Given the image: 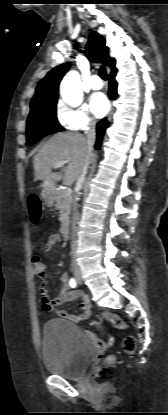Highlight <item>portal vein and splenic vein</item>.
Returning <instances> with one entry per match:
<instances>
[{"mask_svg": "<svg viewBox=\"0 0 168 415\" xmlns=\"http://www.w3.org/2000/svg\"><path fill=\"white\" fill-rule=\"evenodd\" d=\"M67 163H68L67 160L59 161V162H57V163L54 164V168L62 167V166H64ZM65 191H66V194H71L72 193V189L71 188H67Z\"/></svg>", "mask_w": 168, "mask_h": 415, "instance_id": "portal-vein-and-splenic-vein-1", "label": "portal vein and splenic vein"}]
</instances>
